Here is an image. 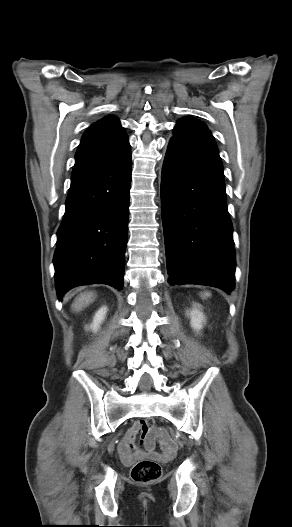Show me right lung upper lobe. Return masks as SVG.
<instances>
[{
  "label": "right lung upper lobe",
  "instance_id": "cb5924a9",
  "mask_svg": "<svg viewBox=\"0 0 292 527\" xmlns=\"http://www.w3.org/2000/svg\"><path fill=\"white\" fill-rule=\"evenodd\" d=\"M127 143H129L128 137L118 118L108 116L92 124L86 130L77 153L83 151H109L122 147Z\"/></svg>",
  "mask_w": 292,
  "mask_h": 527
}]
</instances>
